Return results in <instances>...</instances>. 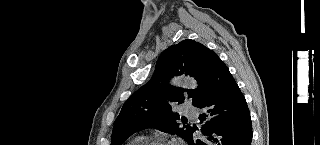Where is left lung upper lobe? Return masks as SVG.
<instances>
[{
    "instance_id": "1",
    "label": "left lung upper lobe",
    "mask_w": 320,
    "mask_h": 145,
    "mask_svg": "<svg viewBox=\"0 0 320 145\" xmlns=\"http://www.w3.org/2000/svg\"><path fill=\"white\" fill-rule=\"evenodd\" d=\"M218 59L215 52L194 40H183L164 50L152 78L122 107L114 124L111 145H121L133 133L146 128H158L186 141L192 127H181L176 122L179 115L172 112V105L189 98L197 106L204 75ZM182 74L194 77L198 88L189 90L168 83L173 76Z\"/></svg>"
}]
</instances>
